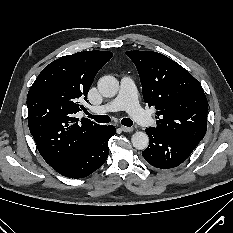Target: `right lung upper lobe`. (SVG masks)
Segmentation results:
<instances>
[{"label":"right lung upper lobe","mask_w":233,"mask_h":233,"mask_svg":"<svg viewBox=\"0 0 233 233\" xmlns=\"http://www.w3.org/2000/svg\"><path fill=\"white\" fill-rule=\"evenodd\" d=\"M113 56L109 51H84L63 56L46 66L27 95L28 126L44 160L57 166L84 150L106 127L75 114L95 75Z\"/></svg>","instance_id":"1"}]
</instances>
